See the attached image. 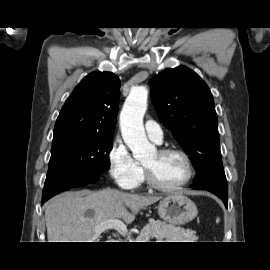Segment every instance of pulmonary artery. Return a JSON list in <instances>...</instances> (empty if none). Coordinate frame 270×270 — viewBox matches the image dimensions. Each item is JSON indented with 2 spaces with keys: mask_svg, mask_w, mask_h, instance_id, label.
I'll list each match as a JSON object with an SVG mask.
<instances>
[{
  "mask_svg": "<svg viewBox=\"0 0 270 270\" xmlns=\"http://www.w3.org/2000/svg\"><path fill=\"white\" fill-rule=\"evenodd\" d=\"M147 136L156 143H161L163 140V131L161 127L153 120H148L145 123Z\"/></svg>",
  "mask_w": 270,
  "mask_h": 270,
  "instance_id": "1",
  "label": "pulmonary artery"
}]
</instances>
